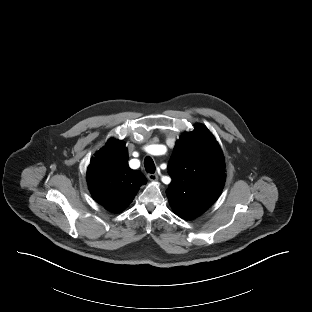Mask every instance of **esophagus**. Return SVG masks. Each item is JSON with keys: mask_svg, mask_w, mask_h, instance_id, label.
I'll return each instance as SVG.
<instances>
[{"mask_svg": "<svg viewBox=\"0 0 312 312\" xmlns=\"http://www.w3.org/2000/svg\"><path fill=\"white\" fill-rule=\"evenodd\" d=\"M147 178H148L150 181H157V180H158L157 174H152V173L147 174Z\"/></svg>", "mask_w": 312, "mask_h": 312, "instance_id": "34e87169", "label": "esophagus"}]
</instances>
